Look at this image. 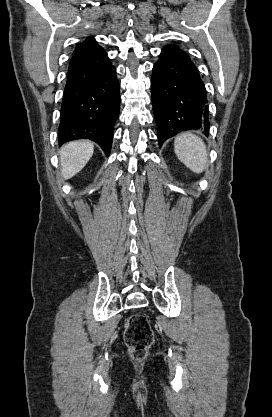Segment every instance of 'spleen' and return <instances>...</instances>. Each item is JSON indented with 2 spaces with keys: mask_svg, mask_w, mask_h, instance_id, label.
Here are the masks:
<instances>
[{
  "mask_svg": "<svg viewBox=\"0 0 272 417\" xmlns=\"http://www.w3.org/2000/svg\"><path fill=\"white\" fill-rule=\"evenodd\" d=\"M178 159L194 173H202L207 167L208 154L205 143L198 136L185 132L174 141Z\"/></svg>",
  "mask_w": 272,
  "mask_h": 417,
  "instance_id": "obj_1",
  "label": "spleen"
}]
</instances>
